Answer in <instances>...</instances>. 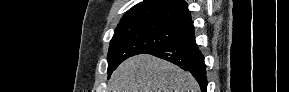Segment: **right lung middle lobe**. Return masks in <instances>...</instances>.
Here are the masks:
<instances>
[{"label": "right lung middle lobe", "mask_w": 289, "mask_h": 92, "mask_svg": "<svg viewBox=\"0 0 289 92\" xmlns=\"http://www.w3.org/2000/svg\"><path fill=\"white\" fill-rule=\"evenodd\" d=\"M191 27L153 19L121 21L111 39L108 76L125 59L174 42L189 33Z\"/></svg>", "instance_id": "dd1d6c3e"}]
</instances>
